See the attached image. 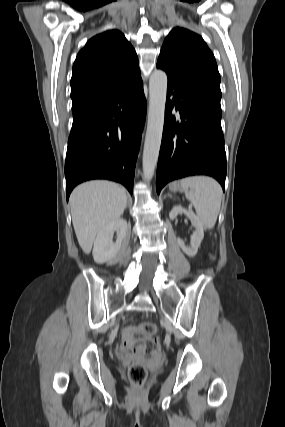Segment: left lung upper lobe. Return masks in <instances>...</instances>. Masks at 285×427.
<instances>
[{"mask_svg":"<svg viewBox=\"0 0 285 427\" xmlns=\"http://www.w3.org/2000/svg\"><path fill=\"white\" fill-rule=\"evenodd\" d=\"M157 68L168 80L220 104V74L213 53L201 36L176 27L166 37Z\"/></svg>","mask_w":285,"mask_h":427,"instance_id":"obj_1","label":"left lung upper lobe"}]
</instances>
